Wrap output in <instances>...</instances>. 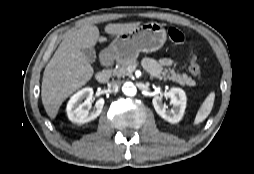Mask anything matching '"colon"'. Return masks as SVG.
I'll list each match as a JSON object with an SVG mask.
<instances>
[{
  "label": "colon",
  "mask_w": 254,
  "mask_h": 174,
  "mask_svg": "<svg viewBox=\"0 0 254 174\" xmlns=\"http://www.w3.org/2000/svg\"><path fill=\"white\" fill-rule=\"evenodd\" d=\"M168 36L170 41L175 44H181L185 40V36L182 31L176 27H171L169 29ZM189 71L194 77L199 78L201 76V67L198 63L197 56L194 53L190 54Z\"/></svg>",
  "instance_id": "colon-1"
}]
</instances>
